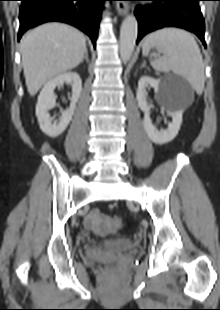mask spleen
Returning a JSON list of instances; mask_svg holds the SVG:
<instances>
[{
	"instance_id": "spleen-1",
	"label": "spleen",
	"mask_w": 220,
	"mask_h": 310,
	"mask_svg": "<svg viewBox=\"0 0 220 310\" xmlns=\"http://www.w3.org/2000/svg\"><path fill=\"white\" fill-rule=\"evenodd\" d=\"M156 48L163 56L151 61L160 72H169L185 78L192 88L201 94L204 89V64L194 37L178 28H163L149 34L143 44V55Z\"/></svg>"
}]
</instances>
